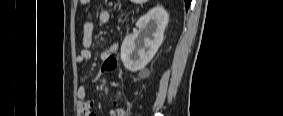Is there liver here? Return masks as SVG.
<instances>
[{
  "mask_svg": "<svg viewBox=\"0 0 283 116\" xmlns=\"http://www.w3.org/2000/svg\"><path fill=\"white\" fill-rule=\"evenodd\" d=\"M136 2H145L146 0H134Z\"/></svg>",
  "mask_w": 283,
  "mask_h": 116,
  "instance_id": "1",
  "label": "liver"
}]
</instances>
